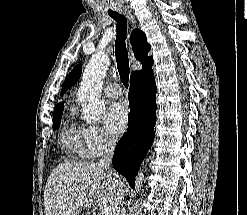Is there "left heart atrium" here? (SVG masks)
Instances as JSON below:
<instances>
[{"mask_svg":"<svg viewBox=\"0 0 247 215\" xmlns=\"http://www.w3.org/2000/svg\"><path fill=\"white\" fill-rule=\"evenodd\" d=\"M128 108L123 102L112 103L104 115L107 128L115 135H119L127 127Z\"/></svg>","mask_w":247,"mask_h":215,"instance_id":"left-heart-atrium-1","label":"left heart atrium"}]
</instances>
